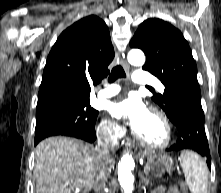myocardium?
Returning <instances> with one entry per match:
<instances>
[{"label": "myocardium", "instance_id": "f54148a6", "mask_svg": "<svg viewBox=\"0 0 221 193\" xmlns=\"http://www.w3.org/2000/svg\"><path fill=\"white\" fill-rule=\"evenodd\" d=\"M149 111L154 113L155 115H157L160 118V120L162 121V123L164 124L165 131H166L165 141L160 144H156V143L150 142L144 135H142L141 133H139L137 131L135 132V134L141 140V142L143 144H145L146 146H148L150 148H154V149H165L170 145L172 138H173L172 126H171L167 116L158 108L150 107Z\"/></svg>", "mask_w": 221, "mask_h": 193}]
</instances>
